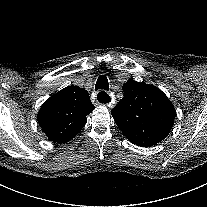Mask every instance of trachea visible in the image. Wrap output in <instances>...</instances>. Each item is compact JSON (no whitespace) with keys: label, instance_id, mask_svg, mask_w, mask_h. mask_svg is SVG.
<instances>
[{"label":"trachea","instance_id":"3493384b","mask_svg":"<svg viewBox=\"0 0 207 207\" xmlns=\"http://www.w3.org/2000/svg\"><path fill=\"white\" fill-rule=\"evenodd\" d=\"M96 90L103 89V90H109V83L108 79L104 76H101L98 78L95 86ZM98 101L101 103H109L110 102V97L107 95L104 96V92L102 91L100 95L98 96Z\"/></svg>","mask_w":207,"mask_h":207}]
</instances>
